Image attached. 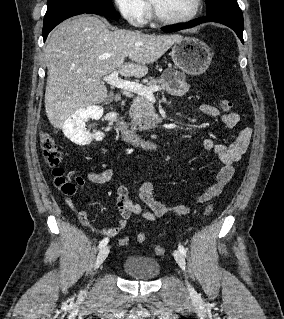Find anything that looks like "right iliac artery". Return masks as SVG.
Masks as SVG:
<instances>
[{
	"instance_id": "1",
	"label": "right iliac artery",
	"mask_w": 284,
	"mask_h": 319,
	"mask_svg": "<svg viewBox=\"0 0 284 319\" xmlns=\"http://www.w3.org/2000/svg\"><path fill=\"white\" fill-rule=\"evenodd\" d=\"M109 242V239L108 238H104L103 240H101V242L99 243V248H102L104 246L107 245V243Z\"/></svg>"
}]
</instances>
